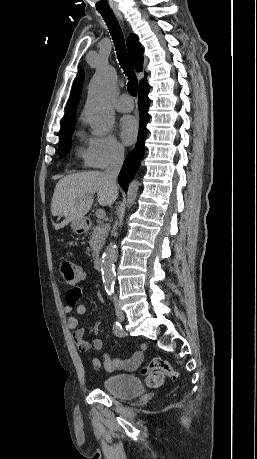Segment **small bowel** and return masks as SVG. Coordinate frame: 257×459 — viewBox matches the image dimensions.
<instances>
[{
    "label": "small bowel",
    "instance_id": "1",
    "mask_svg": "<svg viewBox=\"0 0 257 459\" xmlns=\"http://www.w3.org/2000/svg\"><path fill=\"white\" fill-rule=\"evenodd\" d=\"M83 290V287L74 286L66 291V313H71L74 308L78 315H84L86 313V305L79 303V300L83 294ZM68 327L72 332L74 343L76 344L79 351L87 352L90 349L103 351V341L101 339L96 338L89 342L84 338V328L77 316L71 315L68 317ZM146 348V344H142L140 349L135 350L131 357L126 359L111 358L109 353L103 352L102 356L104 360V369L110 373L119 370L133 371L142 362L143 354ZM91 365L93 368H99L101 366L100 359L97 357L92 358Z\"/></svg>",
    "mask_w": 257,
    "mask_h": 459
}]
</instances>
